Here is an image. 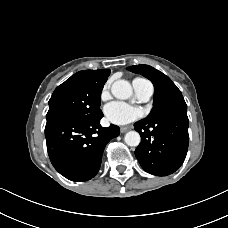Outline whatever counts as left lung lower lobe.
<instances>
[{
    "instance_id": "obj_1",
    "label": "left lung lower lobe",
    "mask_w": 228,
    "mask_h": 228,
    "mask_svg": "<svg viewBox=\"0 0 228 228\" xmlns=\"http://www.w3.org/2000/svg\"><path fill=\"white\" fill-rule=\"evenodd\" d=\"M188 126L187 108L173 110L152 122H136L141 143L135 155L142 168L156 176L175 172L187 154Z\"/></svg>"
}]
</instances>
